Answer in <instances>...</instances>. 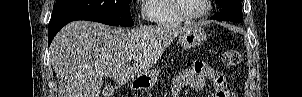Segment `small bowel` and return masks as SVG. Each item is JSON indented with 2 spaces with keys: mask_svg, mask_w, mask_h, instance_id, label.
I'll list each match as a JSON object with an SVG mask.
<instances>
[{
  "mask_svg": "<svg viewBox=\"0 0 302 97\" xmlns=\"http://www.w3.org/2000/svg\"><path fill=\"white\" fill-rule=\"evenodd\" d=\"M207 80L213 84L214 97H233L232 88L223 75L201 62L194 63L173 79L171 97H180L186 87L200 91Z\"/></svg>",
  "mask_w": 302,
  "mask_h": 97,
  "instance_id": "c3829d8e",
  "label": "small bowel"
}]
</instances>
